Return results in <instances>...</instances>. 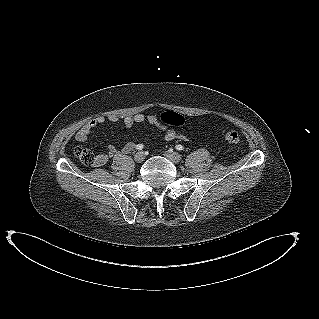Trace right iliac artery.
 <instances>
[{
  "label": "right iliac artery",
  "mask_w": 319,
  "mask_h": 319,
  "mask_svg": "<svg viewBox=\"0 0 319 319\" xmlns=\"http://www.w3.org/2000/svg\"><path fill=\"white\" fill-rule=\"evenodd\" d=\"M144 148V145L143 144H138L136 145V149L137 150H142Z\"/></svg>",
  "instance_id": "82829eb1"
}]
</instances>
